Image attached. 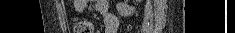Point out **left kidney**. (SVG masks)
I'll return each instance as SVG.
<instances>
[{
    "label": "left kidney",
    "mask_w": 235,
    "mask_h": 33,
    "mask_svg": "<svg viewBox=\"0 0 235 33\" xmlns=\"http://www.w3.org/2000/svg\"><path fill=\"white\" fill-rule=\"evenodd\" d=\"M136 2H141L142 0H135ZM117 12L119 15L127 17L132 16L133 13H135V7L129 6L128 4L124 2H119L116 5Z\"/></svg>",
    "instance_id": "obj_1"
}]
</instances>
